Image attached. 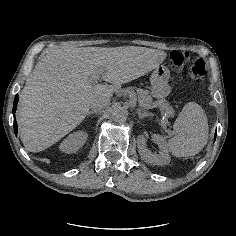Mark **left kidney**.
<instances>
[{"instance_id":"obj_1","label":"left kidney","mask_w":236,"mask_h":236,"mask_svg":"<svg viewBox=\"0 0 236 236\" xmlns=\"http://www.w3.org/2000/svg\"><path fill=\"white\" fill-rule=\"evenodd\" d=\"M153 141L157 143L160 148L159 154H154L149 149H147L145 137L143 135L138 136L137 147L142 160L153 165L168 164L170 162V156L168 153V146L166 145L164 138L158 134H154Z\"/></svg>"}]
</instances>
